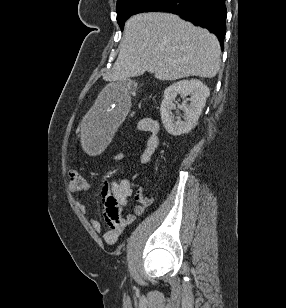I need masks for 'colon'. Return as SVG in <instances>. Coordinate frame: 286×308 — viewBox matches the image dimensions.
<instances>
[{"instance_id":"obj_1","label":"colon","mask_w":286,"mask_h":308,"mask_svg":"<svg viewBox=\"0 0 286 308\" xmlns=\"http://www.w3.org/2000/svg\"><path fill=\"white\" fill-rule=\"evenodd\" d=\"M87 187V180L81 173L73 170L69 171V188L72 191H83Z\"/></svg>"}]
</instances>
